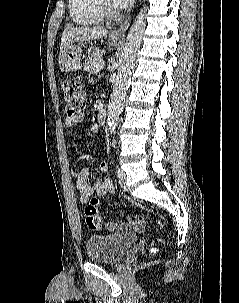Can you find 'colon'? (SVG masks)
<instances>
[{
  "label": "colon",
  "instance_id": "5ec220e1",
  "mask_svg": "<svg viewBox=\"0 0 239 303\" xmlns=\"http://www.w3.org/2000/svg\"><path fill=\"white\" fill-rule=\"evenodd\" d=\"M62 92L67 116L72 118L79 116L86 106V94L81 83L75 78L67 77L62 83ZM99 205L100 200L92 198L85 208V222L92 230H99L102 227ZM154 250L153 247L150 249L151 252Z\"/></svg>",
  "mask_w": 239,
  "mask_h": 303
}]
</instances>
